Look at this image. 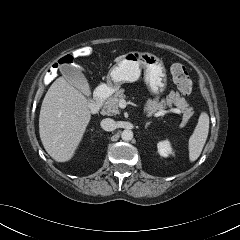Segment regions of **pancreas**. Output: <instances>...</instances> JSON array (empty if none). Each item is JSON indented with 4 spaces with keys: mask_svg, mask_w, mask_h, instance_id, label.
Here are the masks:
<instances>
[{
    "mask_svg": "<svg viewBox=\"0 0 240 240\" xmlns=\"http://www.w3.org/2000/svg\"><path fill=\"white\" fill-rule=\"evenodd\" d=\"M124 98H125L124 90L123 89L116 90L114 95L109 96L104 101L103 109L101 113L103 115H108V116L119 114L120 113L119 102ZM166 103L169 106H171V104L173 103L175 106H177L181 110V112L183 113V119H182L183 123L187 122L193 114L192 108L189 107V104L187 103L185 98L180 97L179 93H175L173 91L170 92V94L168 95L166 102L165 101L158 102L156 100L147 101L144 107V113H146L147 116L149 117L153 116L156 113L164 110Z\"/></svg>",
    "mask_w": 240,
    "mask_h": 240,
    "instance_id": "obj_1",
    "label": "pancreas"
}]
</instances>
